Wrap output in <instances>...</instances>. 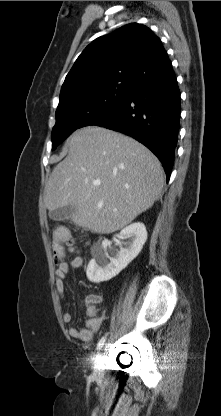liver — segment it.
Segmentation results:
<instances>
[{
  "label": "liver",
  "mask_w": 221,
  "mask_h": 416,
  "mask_svg": "<svg viewBox=\"0 0 221 416\" xmlns=\"http://www.w3.org/2000/svg\"><path fill=\"white\" fill-rule=\"evenodd\" d=\"M67 157L52 171L44 189L49 211L74 206L72 222L109 234L131 223L159 199L164 170L137 140L99 126L74 132ZM100 182V185H95Z\"/></svg>",
  "instance_id": "6515ba94"
}]
</instances>
